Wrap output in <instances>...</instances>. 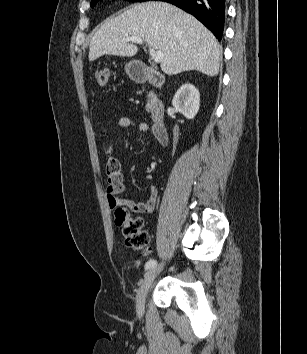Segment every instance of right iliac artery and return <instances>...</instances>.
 I'll return each mask as SVG.
<instances>
[{"instance_id":"82829eb1","label":"right iliac artery","mask_w":307,"mask_h":354,"mask_svg":"<svg viewBox=\"0 0 307 354\" xmlns=\"http://www.w3.org/2000/svg\"><path fill=\"white\" fill-rule=\"evenodd\" d=\"M157 265V261L154 259H150L146 264H145V270H149L154 268Z\"/></svg>"}]
</instances>
